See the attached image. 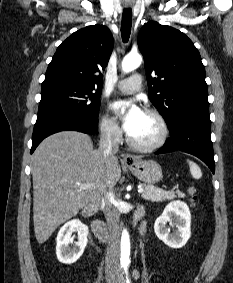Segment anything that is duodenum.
Segmentation results:
<instances>
[{"mask_svg":"<svg viewBox=\"0 0 233 283\" xmlns=\"http://www.w3.org/2000/svg\"><path fill=\"white\" fill-rule=\"evenodd\" d=\"M99 204L98 199H94L90 204H88L84 209H83V216L85 217H90L93 215V213L96 211L97 207ZM92 229L95 233V235L102 241H105L108 239V231L106 226L98 220L92 221Z\"/></svg>","mask_w":233,"mask_h":283,"instance_id":"obj_1","label":"duodenum"}]
</instances>
